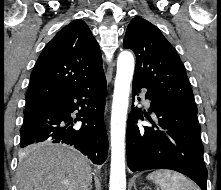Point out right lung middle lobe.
Instances as JSON below:
<instances>
[{"mask_svg":"<svg viewBox=\"0 0 221 190\" xmlns=\"http://www.w3.org/2000/svg\"><path fill=\"white\" fill-rule=\"evenodd\" d=\"M27 111H29V110H24V113H26Z\"/></svg>","mask_w":221,"mask_h":190,"instance_id":"right-lung-middle-lobe-1","label":"right lung middle lobe"}]
</instances>
